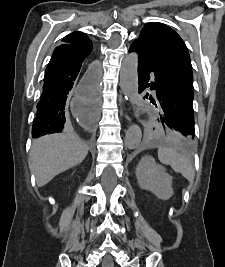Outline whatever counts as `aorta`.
Returning a JSON list of instances; mask_svg holds the SVG:
<instances>
[{"label":"aorta","instance_id":"aorta-1","mask_svg":"<svg viewBox=\"0 0 225 267\" xmlns=\"http://www.w3.org/2000/svg\"><path fill=\"white\" fill-rule=\"evenodd\" d=\"M138 55L130 53L123 60L120 71V86L124 95L130 98L138 96ZM142 138L141 128L137 124L129 127L125 135V145L128 149L139 146Z\"/></svg>","mask_w":225,"mask_h":267}]
</instances>
